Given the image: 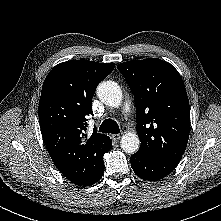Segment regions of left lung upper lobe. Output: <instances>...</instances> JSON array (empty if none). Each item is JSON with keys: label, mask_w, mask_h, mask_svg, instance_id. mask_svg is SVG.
<instances>
[{"label": "left lung upper lobe", "mask_w": 221, "mask_h": 221, "mask_svg": "<svg viewBox=\"0 0 221 221\" xmlns=\"http://www.w3.org/2000/svg\"><path fill=\"white\" fill-rule=\"evenodd\" d=\"M117 68L134 94L138 153L179 163L190 132L189 101L180 74L157 58L132 60Z\"/></svg>", "instance_id": "left-lung-upper-lobe-1"}]
</instances>
